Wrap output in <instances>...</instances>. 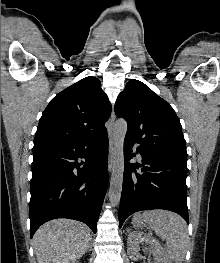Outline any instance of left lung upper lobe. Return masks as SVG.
I'll return each mask as SVG.
<instances>
[{"mask_svg":"<svg viewBox=\"0 0 220 263\" xmlns=\"http://www.w3.org/2000/svg\"><path fill=\"white\" fill-rule=\"evenodd\" d=\"M115 114L128 123L126 138L150 153L186 167L185 139L177 115L168 102L143 82L132 79L126 84L117 98Z\"/></svg>","mask_w":220,"mask_h":263,"instance_id":"obj_1","label":"left lung upper lobe"}]
</instances>
